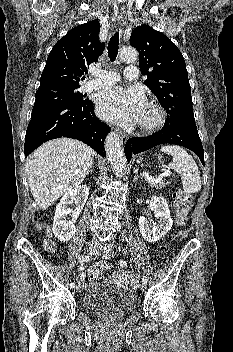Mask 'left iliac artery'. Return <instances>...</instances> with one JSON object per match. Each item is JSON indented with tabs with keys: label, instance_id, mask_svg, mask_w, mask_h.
<instances>
[{
	"label": "left iliac artery",
	"instance_id": "44dca946",
	"mask_svg": "<svg viewBox=\"0 0 233 352\" xmlns=\"http://www.w3.org/2000/svg\"><path fill=\"white\" fill-rule=\"evenodd\" d=\"M111 252H112V247H107V248H105L103 257H104L105 259H107V258L110 256ZM147 281H148V280H147V277H146V276H143V277H142V283L147 284Z\"/></svg>",
	"mask_w": 233,
	"mask_h": 352
}]
</instances>
